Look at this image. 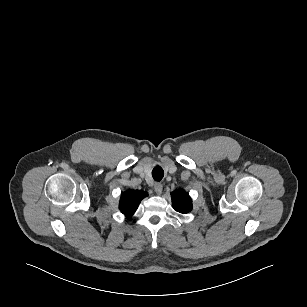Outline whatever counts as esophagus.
I'll use <instances>...</instances> for the list:
<instances>
[{
  "mask_svg": "<svg viewBox=\"0 0 307 307\" xmlns=\"http://www.w3.org/2000/svg\"><path fill=\"white\" fill-rule=\"evenodd\" d=\"M162 190H163V185L161 183H156L154 185V191L160 195L162 193Z\"/></svg>",
  "mask_w": 307,
  "mask_h": 307,
  "instance_id": "34e87169",
  "label": "esophagus"
}]
</instances>
